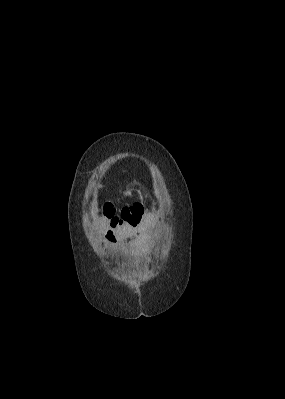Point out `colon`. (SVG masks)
<instances>
[{
	"label": "colon",
	"instance_id": "colon-1",
	"mask_svg": "<svg viewBox=\"0 0 285 399\" xmlns=\"http://www.w3.org/2000/svg\"><path fill=\"white\" fill-rule=\"evenodd\" d=\"M104 214L108 219L106 224L107 229L119 226L123 222V220L119 216L115 215V213L111 210V208L108 205L104 206Z\"/></svg>",
	"mask_w": 285,
	"mask_h": 399
}]
</instances>
